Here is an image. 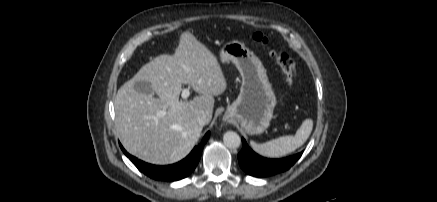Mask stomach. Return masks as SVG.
<instances>
[{"label":"stomach","instance_id":"obj_1","mask_svg":"<svg viewBox=\"0 0 437 202\" xmlns=\"http://www.w3.org/2000/svg\"><path fill=\"white\" fill-rule=\"evenodd\" d=\"M221 62H232L242 83L237 99L224 118L236 120L247 134H261L270 125L276 97L260 59L238 41L226 43L219 52Z\"/></svg>","mask_w":437,"mask_h":202}]
</instances>
